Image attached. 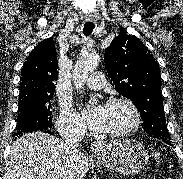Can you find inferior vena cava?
Wrapping results in <instances>:
<instances>
[{
	"mask_svg": "<svg viewBox=\"0 0 183 179\" xmlns=\"http://www.w3.org/2000/svg\"><path fill=\"white\" fill-rule=\"evenodd\" d=\"M84 137V130L83 129H70L67 132L62 134V138L64 140L65 147L68 151V154L71 159V164L73 168L76 167L78 162L79 152L77 146L80 141H82ZM74 178L81 179V176L78 174H74Z\"/></svg>",
	"mask_w": 183,
	"mask_h": 179,
	"instance_id": "602c4592",
	"label": "inferior vena cava"
}]
</instances>
